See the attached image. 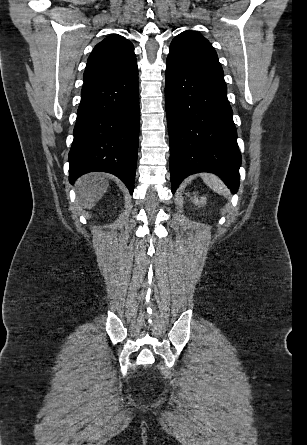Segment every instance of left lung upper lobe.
I'll use <instances>...</instances> for the list:
<instances>
[{
	"instance_id": "left-lung-upper-lobe-1",
	"label": "left lung upper lobe",
	"mask_w": 307,
	"mask_h": 445,
	"mask_svg": "<svg viewBox=\"0 0 307 445\" xmlns=\"http://www.w3.org/2000/svg\"><path fill=\"white\" fill-rule=\"evenodd\" d=\"M168 58L218 85L226 87L224 73L211 43L201 34L184 31L170 45Z\"/></svg>"
}]
</instances>
